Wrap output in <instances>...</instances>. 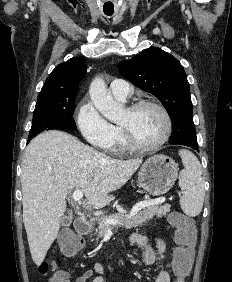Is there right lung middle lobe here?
<instances>
[{"mask_svg":"<svg viewBox=\"0 0 232 282\" xmlns=\"http://www.w3.org/2000/svg\"><path fill=\"white\" fill-rule=\"evenodd\" d=\"M75 96L76 94L38 95L28 140L44 130L56 128L76 130L73 118Z\"/></svg>","mask_w":232,"mask_h":282,"instance_id":"1","label":"right lung middle lobe"}]
</instances>
